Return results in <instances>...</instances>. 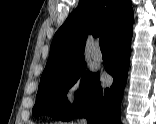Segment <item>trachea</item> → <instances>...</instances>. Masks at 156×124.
Instances as JSON below:
<instances>
[{
    "label": "trachea",
    "mask_w": 156,
    "mask_h": 124,
    "mask_svg": "<svg viewBox=\"0 0 156 124\" xmlns=\"http://www.w3.org/2000/svg\"><path fill=\"white\" fill-rule=\"evenodd\" d=\"M99 45L101 50H108L106 37H101L99 39Z\"/></svg>",
    "instance_id": "obj_1"
}]
</instances>
